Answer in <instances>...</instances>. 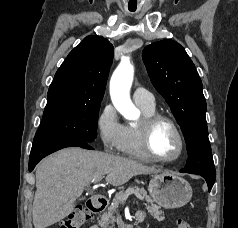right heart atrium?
Listing matches in <instances>:
<instances>
[{
    "instance_id": "1",
    "label": "right heart atrium",
    "mask_w": 238,
    "mask_h": 228,
    "mask_svg": "<svg viewBox=\"0 0 238 228\" xmlns=\"http://www.w3.org/2000/svg\"><path fill=\"white\" fill-rule=\"evenodd\" d=\"M97 131L105 151L117 152L120 150L124 125L112 104L107 103L101 109L97 118Z\"/></svg>"
}]
</instances>
